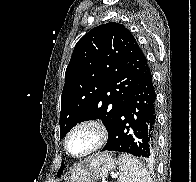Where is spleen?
I'll use <instances>...</instances> for the list:
<instances>
[{
    "mask_svg": "<svg viewBox=\"0 0 196 182\" xmlns=\"http://www.w3.org/2000/svg\"><path fill=\"white\" fill-rule=\"evenodd\" d=\"M119 182H152L146 168L131 155H119Z\"/></svg>",
    "mask_w": 196,
    "mask_h": 182,
    "instance_id": "1",
    "label": "spleen"
}]
</instances>
